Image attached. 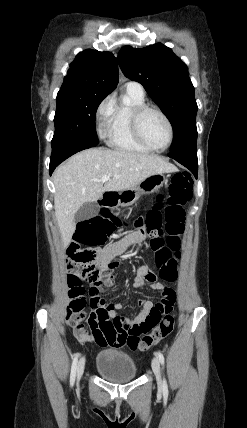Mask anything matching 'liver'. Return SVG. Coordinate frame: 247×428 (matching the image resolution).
Masks as SVG:
<instances>
[{
	"mask_svg": "<svg viewBox=\"0 0 247 428\" xmlns=\"http://www.w3.org/2000/svg\"><path fill=\"white\" fill-rule=\"evenodd\" d=\"M177 170L160 156L121 149L91 148L71 157L53 175L55 217L63 246L71 242L75 214L84 203L96 202L105 192L131 189L154 174ZM105 175L110 179L101 182Z\"/></svg>",
	"mask_w": 247,
	"mask_h": 428,
	"instance_id": "liver-1",
	"label": "liver"
}]
</instances>
